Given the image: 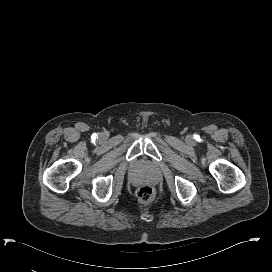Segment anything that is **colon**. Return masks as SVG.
<instances>
[{"label": "colon", "instance_id": "colon-1", "mask_svg": "<svg viewBox=\"0 0 272 272\" xmlns=\"http://www.w3.org/2000/svg\"><path fill=\"white\" fill-rule=\"evenodd\" d=\"M136 195L140 201L148 203L153 200L155 192L151 186L144 185L137 189Z\"/></svg>", "mask_w": 272, "mask_h": 272}]
</instances>
